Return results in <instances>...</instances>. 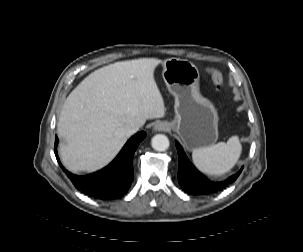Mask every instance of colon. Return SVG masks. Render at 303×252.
I'll return each instance as SVG.
<instances>
[{"mask_svg": "<svg viewBox=\"0 0 303 252\" xmlns=\"http://www.w3.org/2000/svg\"><path fill=\"white\" fill-rule=\"evenodd\" d=\"M207 71L217 89L222 90L224 88V80L221 73L213 68H209Z\"/></svg>", "mask_w": 303, "mask_h": 252, "instance_id": "1", "label": "colon"}]
</instances>
